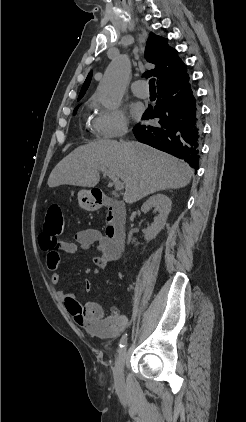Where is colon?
I'll use <instances>...</instances> for the list:
<instances>
[{
    "label": "colon",
    "mask_w": 246,
    "mask_h": 422,
    "mask_svg": "<svg viewBox=\"0 0 246 422\" xmlns=\"http://www.w3.org/2000/svg\"><path fill=\"white\" fill-rule=\"evenodd\" d=\"M64 226L65 223L61 206L57 203L50 204L46 211L44 230L49 234L56 236L63 233Z\"/></svg>",
    "instance_id": "5ec220e1"
}]
</instances>
